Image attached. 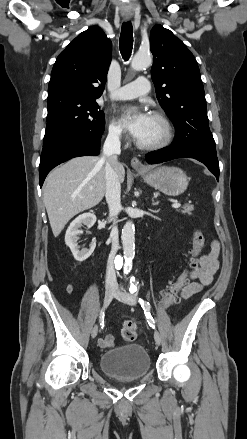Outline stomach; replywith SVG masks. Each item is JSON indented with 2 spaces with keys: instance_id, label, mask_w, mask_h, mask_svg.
I'll return each mask as SVG.
<instances>
[{
  "instance_id": "obj_1",
  "label": "stomach",
  "mask_w": 247,
  "mask_h": 439,
  "mask_svg": "<svg viewBox=\"0 0 247 439\" xmlns=\"http://www.w3.org/2000/svg\"><path fill=\"white\" fill-rule=\"evenodd\" d=\"M138 172L147 184L169 196L184 193L189 184L186 173L177 167L160 166Z\"/></svg>"
}]
</instances>
